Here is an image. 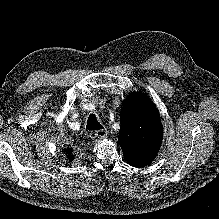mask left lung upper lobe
<instances>
[{"label": "left lung upper lobe", "instance_id": "1", "mask_svg": "<svg viewBox=\"0 0 219 219\" xmlns=\"http://www.w3.org/2000/svg\"><path fill=\"white\" fill-rule=\"evenodd\" d=\"M118 137L127 163L144 167L156 157L163 137L157 108L143 93H131L122 103Z\"/></svg>", "mask_w": 219, "mask_h": 219}]
</instances>
